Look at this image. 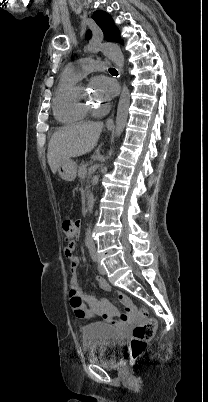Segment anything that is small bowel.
<instances>
[{
	"label": "small bowel",
	"mask_w": 208,
	"mask_h": 402,
	"mask_svg": "<svg viewBox=\"0 0 208 402\" xmlns=\"http://www.w3.org/2000/svg\"><path fill=\"white\" fill-rule=\"evenodd\" d=\"M82 225V222L79 220L75 222L73 226V231L77 232L76 236L71 238L72 243H70L64 249L65 257L70 258V286L68 289L69 298L71 299L73 296H78L81 298L83 304H85L88 308L85 311L84 317L96 314L104 320L114 323L117 330H128L130 328V324L135 323V321H140V318H135L140 315V312L133 309V305L128 299L127 293L122 292L119 295V298L120 300H122L121 302L126 309L124 313H120L119 310L105 298H96L90 295H81L78 283V261L73 253L75 249L74 243H77L79 241L78 237L81 236V233L79 231ZM96 283L103 291H111V286L104 278L97 277ZM125 300H129V303H124L123 301Z\"/></svg>",
	"instance_id": "c3829d8e"
}]
</instances>
